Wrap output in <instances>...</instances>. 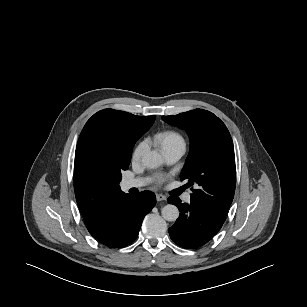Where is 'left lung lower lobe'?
Wrapping results in <instances>:
<instances>
[{
    "mask_svg": "<svg viewBox=\"0 0 307 307\" xmlns=\"http://www.w3.org/2000/svg\"><path fill=\"white\" fill-rule=\"evenodd\" d=\"M179 208L180 215L175 224L169 228L171 239L185 248H198L207 243L221 229L223 221L207 213L193 202L181 203L178 197L167 199Z\"/></svg>",
    "mask_w": 307,
    "mask_h": 307,
    "instance_id": "obj_1",
    "label": "left lung lower lobe"
}]
</instances>
